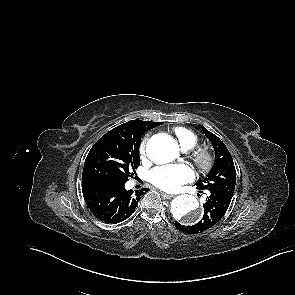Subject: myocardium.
<instances>
[{
    "label": "myocardium",
    "instance_id": "obj_1",
    "mask_svg": "<svg viewBox=\"0 0 295 295\" xmlns=\"http://www.w3.org/2000/svg\"><path fill=\"white\" fill-rule=\"evenodd\" d=\"M190 159L202 173L208 172L214 163L212 152L204 146L194 148L190 153Z\"/></svg>",
    "mask_w": 295,
    "mask_h": 295
}]
</instances>
